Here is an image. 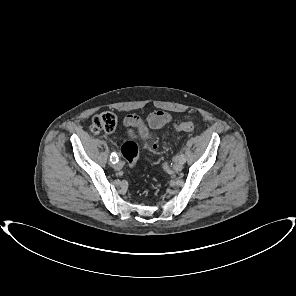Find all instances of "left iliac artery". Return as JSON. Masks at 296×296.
<instances>
[{"label":"left iliac artery","instance_id":"obj_1","mask_svg":"<svg viewBox=\"0 0 296 296\" xmlns=\"http://www.w3.org/2000/svg\"><path fill=\"white\" fill-rule=\"evenodd\" d=\"M178 159H180L183 163L185 162V155L183 153H181L178 157Z\"/></svg>","mask_w":296,"mask_h":296}]
</instances>
